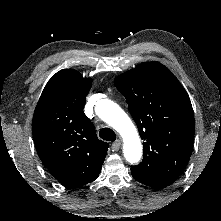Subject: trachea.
Masks as SVG:
<instances>
[{
  "instance_id": "trachea-1",
  "label": "trachea",
  "mask_w": 221,
  "mask_h": 221,
  "mask_svg": "<svg viewBox=\"0 0 221 221\" xmlns=\"http://www.w3.org/2000/svg\"><path fill=\"white\" fill-rule=\"evenodd\" d=\"M100 138L106 141H115L116 140V134L115 132L110 128H103L99 132Z\"/></svg>"
}]
</instances>
